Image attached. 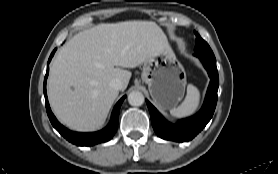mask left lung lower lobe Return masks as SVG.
I'll return each instance as SVG.
<instances>
[{
    "mask_svg": "<svg viewBox=\"0 0 278 174\" xmlns=\"http://www.w3.org/2000/svg\"><path fill=\"white\" fill-rule=\"evenodd\" d=\"M197 56L210 77V84L207 90L204 104L201 110L191 118L182 119L177 124H172L156 110L147 100V106L151 116V122L156 134L166 140L186 142L193 139L210 121L217 103V90L219 84L216 60L205 56Z\"/></svg>",
    "mask_w": 278,
    "mask_h": 174,
    "instance_id": "obj_1",
    "label": "left lung lower lobe"
}]
</instances>
